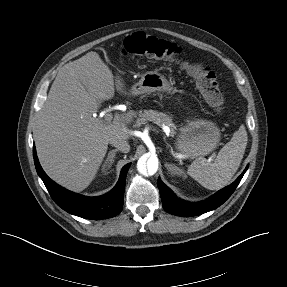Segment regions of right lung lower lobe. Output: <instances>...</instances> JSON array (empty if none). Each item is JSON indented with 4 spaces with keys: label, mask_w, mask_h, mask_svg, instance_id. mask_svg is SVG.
I'll list each match as a JSON object with an SVG mask.
<instances>
[{
    "label": "right lung lower lobe",
    "mask_w": 287,
    "mask_h": 287,
    "mask_svg": "<svg viewBox=\"0 0 287 287\" xmlns=\"http://www.w3.org/2000/svg\"><path fill=\"white\" fill-rule=\"evenodd\" d=\"M33 157L39 177L44 182L52 199L63 210L93 220L111 218L122 211L125 179L130 164L123 167L116 186L109 193L99 197H85L68 191L53 182L40 166L35 147H33Z\"/></svg>",
    "instance_id": "98d812e1"
}]
</instances>
